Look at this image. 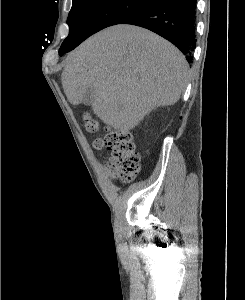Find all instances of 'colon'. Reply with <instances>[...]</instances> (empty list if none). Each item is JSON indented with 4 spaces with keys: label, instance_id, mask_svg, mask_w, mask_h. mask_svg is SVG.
I'll return each instance as SVG.
<instances>
[{
    "label": "colon",
    "instance_id": "obj_1",
    "mask_svg": "<svg viewBox=\"0 0 245 300\" xmlns=\"http://www.w3.org/2000/svg\"><path fill=\"white\" fill-rule=\"evenodd\" d=\"M86 129L95 132L98 129L97 122L86 118ZM96 149L106 147L111 151L108 167L113 177L123 182L132 181L140 169V155L135 151L132 136L127 132L108 131L103 138L94 140Z\"/></svg>",
    "mask_w": 245,
    "mask_h": 300
}]
</instances>
